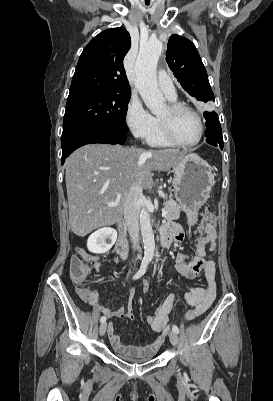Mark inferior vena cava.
Returning a JSON list of instances; mask_svg holds the SVG:
<instances>
[{
    "label": "inferior vena cava",
    "instance_id": "1",
    "mask_svg": "<svg viewBox=\"0 0 273 401\" xmlns=\"http://www.w3.org/2000/svg\"><path fill=\"white\" fill-rule=\"evenodd\" d=\"M142 186L141 182H133L129 190V198L124 205V219L125 225H127L128 233L130 235V241L132 243L133 249H136L139 245V207L138 203L141 201Z\"/></svg>",
    "mask_w": 273,
    "mask_h": 401
}]
</instances>
